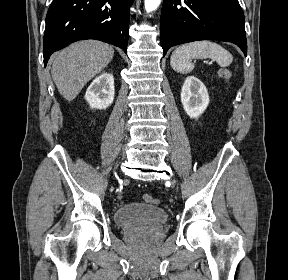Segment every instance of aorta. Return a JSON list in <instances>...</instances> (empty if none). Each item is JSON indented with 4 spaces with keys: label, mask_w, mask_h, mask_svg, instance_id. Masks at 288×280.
<instances>
[{
    "label": "aorta",
    "mask_w": 288,
    "mask_h": 280,
    "mask_svg": "<svg viewBox=\"0 0 288 280\" xmlns=\"http://www.w3.org/2000/svg\"><path fill=\"white\" fill-rule=\"evenodd\" d=\"M161 3V0H144L145 10L149 13L155 11Z\"/></svg>",
    "instance_id": "762f6f07"
}]
</instances>
